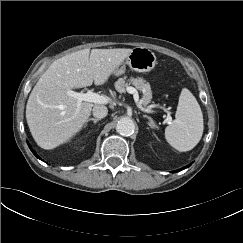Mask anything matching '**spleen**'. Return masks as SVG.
I'll list each match as a JSON object with an SVG mask.
<instances>
[{
  "label": "spleen",
  "mask_w": 243,
  "mask_h": 243,
  "mask_svg": "<svg viewBox=\"0 0 243 243\" xmlns=\"http://www.w3.org/2000/svg\"><path fill=\"white\" fill-rule=\"evenodd\" d=\"M203 128V115L196 98L187 88L182 89L175 120L165 129L167 142L180 152L189 151L201 140Z\"/></svg>",
  "instance_id": "1"
}]
</instances>
